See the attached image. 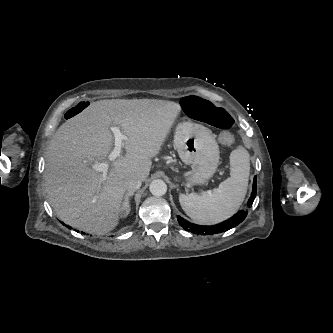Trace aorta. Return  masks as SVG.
Instances as JSON below:
<instances>
[{"label":"aorta","mask_w":333,"mask_h":333,"mask_svg":"<svg viewBox=\"0 0 333 333\" xmlns=\"http://www.w3.org/2000/svg\"><path fill=\"white\" fill-rule=\"evenodd\" d=\"M150 192L154 196H162L167 192V185L163 180H153L150 184Z\"/></svg>","instance_id":"762f6f07"}]
</instances>
